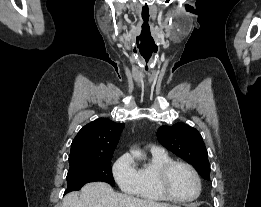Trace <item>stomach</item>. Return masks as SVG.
<instances>
[{
	"mask_svg": "<svg viewBox=\"0 0 261 207\" xmlns=\"http://www.w3.org/2000/svg\"><path fill=\"white\" fill-rule=\"evenodd\" d=\"M170 207H179V206H173V205H171Z\"/></svg>",
	"mask_w": 261,
	"mask_h": 207,
	"instance_id": "obj_1",
	"label": "stomach"
}]
</instances>
